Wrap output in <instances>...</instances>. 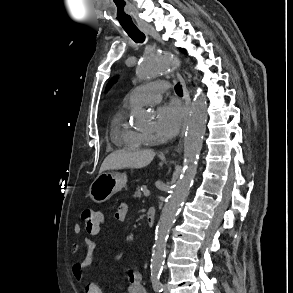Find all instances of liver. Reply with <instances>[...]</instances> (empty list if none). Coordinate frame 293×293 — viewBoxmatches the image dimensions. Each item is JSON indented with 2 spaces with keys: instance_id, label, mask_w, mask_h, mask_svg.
<instances>
[{
  "instance_id": "6515ba94",
  "label": "liver",
  "mask_w": 293,
  "mask_h": 293,
  "mask_svg": "<svg viewBox=\"0 0 293 293\" xmlns=\"http://www.w3.org/2000/svg\"><path fill=\"white\" fill-rule=\"evenodd\" d=\"M155 157L153 150H139L127 152L118 150L109 154L103 161L100 174L107 170H118L124 168H143L149 165Z\"/></svg>"
}]
</instances>
